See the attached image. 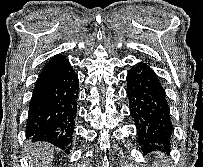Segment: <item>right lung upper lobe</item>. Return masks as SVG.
I'll list each match as a JSON object with an SVG mask.
<instances>
[{
  "mask_svg": "<svg viewBox=\"0 0 203 167\" xmlns=\"http://www.w3.org/2000/svg\"><path fill=\"white\" fill-rule=\"evenodd\" d=\"M67 62L66 58L62 55H58L54 58H52L48 63H46V65L44 66V68L42 69V72L39 76V79H43L46 78L52 74H54L55 72H57L65 63Z\"/></svg>",
  "mask_w": 203,
  "mask_h": 167,
  "instance_id": "1",
  "label": "right lung upper lobe"
}]
</instances>
